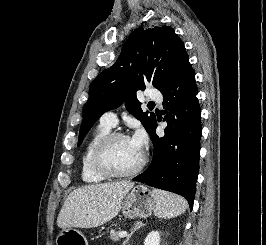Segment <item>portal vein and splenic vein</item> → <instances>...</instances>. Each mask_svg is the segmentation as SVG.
Wrapping results in <instances>:
<instances>
[{
  "instance_id": "18ae733b",
  "label": "portal vein and splenic vein",
  "mask_w": 266,
  "mask_h": 245,
  "mask_svg": "<svg viewBox=\"0 0 266 245\" xmlns=\"http://www.w3.org/2000/svg\"><path fill=\"white\" fill-rule=\"evenodd\" d=\"M119 237H128V233H126V231H122V233H119Z\"/></svg>"
}]
</instances>
